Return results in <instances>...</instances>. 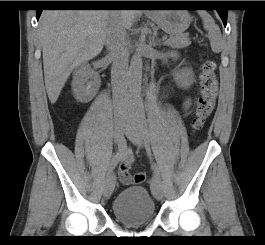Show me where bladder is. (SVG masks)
<instances>
[{
	"label": "bladder",
	"mask_w": 265,
	"mask_h": 245,
	"mask_svg": "<svg viewBox=\"0 0 265 245\" xmlns=\"http://www.w3.org/2000/svg\"><path fill=\"white\" fill-rule=\"evenodd\" d=\"M112 213L122 225H146L155 218L156 206L149 192L140 185L129 186L114 199Z\"/></svg>",
	"instance_id": "obj_1"
}]
</instances>
